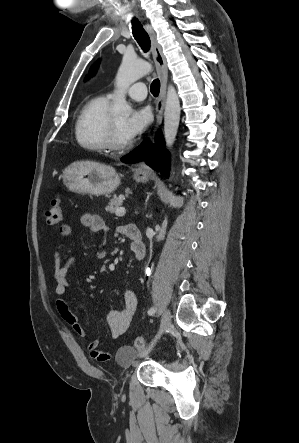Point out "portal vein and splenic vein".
<instances>
[{"label": "portal vein and splenic vein", "mask_w": 299, "mask_h": 443, "mask_svg": "<svg viewBox=\"0 0 299 443\" xmlns=\"http://www.w3.org/2000/svg\"><path fill=\"white\" fill-rule=\"evenodd\" d=\"M126 213V209L124 207H120L116 210V216H124Z\"/></svg>", "instance_id": "portal-vein-and-splenic-vein-1"}]
</instances>
